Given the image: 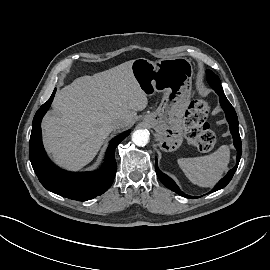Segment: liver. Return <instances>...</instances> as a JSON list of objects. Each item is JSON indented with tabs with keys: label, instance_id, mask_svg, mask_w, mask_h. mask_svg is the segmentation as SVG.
I'll return each instance as SVG.
<instances>
[{
	"label": "liver",
	"instance_id": "6515ba94",
	"mask_svg": "<svg viewBox=\"0 0 270 270\" xmlns=\"http://www.w3.org/2000/svg\"><path fill=\"white\" fill-rule=\"evenodd\" d=\"M133 61L79 77L56 93L42 129L45 147L60 166L78 170L87 165L114 130V120L128 127L146 108L147 94L133 76Z\"/></svg>",
	"mask_w": 270,
	"mask_h": 270
}]
</instances>
